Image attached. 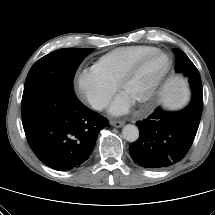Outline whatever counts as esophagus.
Instances as JSON below:
<instances>
[{
    "instance_id": "34e87169",
    "label": "esophagus",
    "mask_w": 215,
    "mask_h": 215,
    "mask_svg": "<svg viewBox=\"0 0 215 215\" xmlns=\"http://www.w3.org/2000/svg\"><path fill=\"white\" fill-rule=\"evenodd\" d=\"M110 124L114 127H122L124 125V122L123 121H116V120H111L110 121Z\"/></svg>"
}]
</instances>
